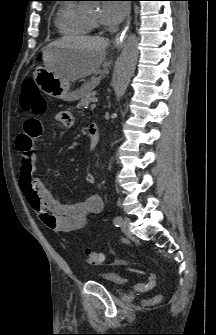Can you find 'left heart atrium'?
Masks as SVG:
<instances>
[{
  "instance_id": "left-heart-atrium-1",
  "label": "left heart atrium",
  "mask_w": 216,
  "mask_h": 335,
  "mask_svg": "<svg viewBox=\"0 0 216 335\" xmlns=\"http://www.w3.org/2000/svg\"><path fill=\"white\" fill-rule=\"evenodd\" d=\"M120 1H105L102 6L101 20L111 27H115L122 22L128 12V5Z\"/></svg>"
}]
</instances>
